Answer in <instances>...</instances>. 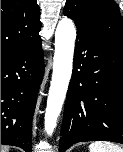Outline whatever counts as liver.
Instances as JSON below:
<instances>
[{"label": "liver", "mask_w": 123, "mask_h": 152, "mask_svg": "<svg viewBox=\"0 0 123 152\" xmlns=\"http://www.w3.org/2000/svg\"><path fill=\"white\" fill-rule=\"evenodd\" d=\"M1 152H9V147L1 145Z\"/></svg>", "instance_id": "1"}]
</instances>
